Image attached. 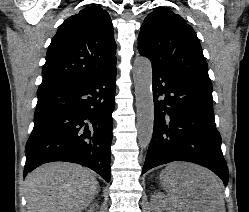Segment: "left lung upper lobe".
Instances as JSON below:
<instances>
[{
	"label": "left lung upper lobe",
	"mask_w": 249,
	"mask_h": 212,
	"mask_svg": "<svg viewBox=\"0 0 249 212\" xmlns=\"http://www.w3.org/2000/svg\"><path fill=\"white\" fill-rule=\"evenodd\" d=\"M138 49L152 65L212 84L196 33L180 15L168 9L156 8L144 19Z\"/></svg>",
	"instance_id": "left-lung-upper-lobe-1"
}]
</instances>
